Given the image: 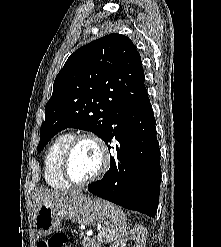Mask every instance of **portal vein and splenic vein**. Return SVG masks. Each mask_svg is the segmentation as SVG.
Returning <instances> with one entry per match:
<instances>
[{
    "mask_svg": "<svg viewBox=\"0 0 221 247\" xmlns=\"http://www.w3.org/2000/svg\"><path fill=\"white\" fill-rule=\"evenodd\" d=\"M92 233H93L92 230H89V231H87L86 234H87L88 236H90V235H92Z\"/></svg>",
    "mask_w": 221,
    "mask_h": 247,
    "instance_id": "obj_1",
    "label": "portal vein and splenic vein"
}]
</instances>
